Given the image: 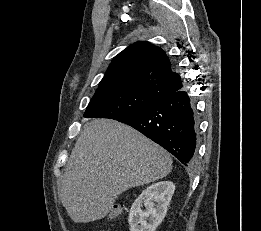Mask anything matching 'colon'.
<instances>
[{"label": "colon", "mask_w": 261, "mask_h": 231, "mask_svg": "<svg viewBox=\"0 0 261 231\" xmlns=\"http://www.w3.org/2000/svg\"><path fill=\"white\" fill-rule=\"evenodd\" d=\"M120 214H121V211H120V209L117 208V207H113V208H110V209L108 210V215L111 216V217H113V218L118 217Z\"/></svg>", "instance_id": "colon-1"}]
</instances>
